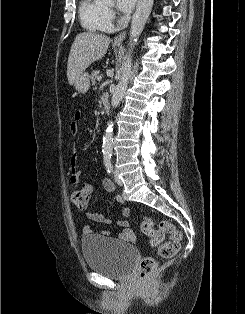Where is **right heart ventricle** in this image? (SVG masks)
<instances>
[{
  "instance_id": "1",
  "label": "right heart ventricle",
  "mask_w": 245,
  "mask_h": 314,
  "mask_svg": "<svg viewBox=\"0 0 245 314\" xmlns=\"http://www.w3.org/2000/svg\"><path fill=\"white\" fill-rule=\"evenodd\" d=\"M79 17L85 29L91 32H107L112 27L107 21V10L95 0H81Z\"/></svg>"
}]
</instances>
